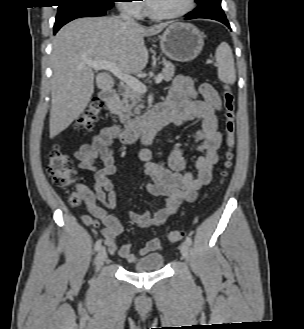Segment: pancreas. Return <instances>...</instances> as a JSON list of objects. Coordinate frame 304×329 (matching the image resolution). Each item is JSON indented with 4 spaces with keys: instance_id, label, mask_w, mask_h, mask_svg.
Instances as JSON below:
<instances>
[{
    "instance_id": "1",
    "label": "pancreas",
    "mask_w": 304,
    "mask_h": 329,
    "mask_svg": "<svg viewBox=\"0 0 304 329\" xmlns=\"http://www.w3.org/2000/svg\"><path fill=\"white\" fill-rule=\"evenodd\" d=\"M164 70L163 78L165 81H170L175 73L174 64L170 61H163ZM122 99L117 102L116 114L119 116L120 121L124 124L125 128H130L134 124V120L131 117L138 118L142 105V94L135 91L129 86L124 87L121 93Z\"/></svg>"
}]
</instances>
